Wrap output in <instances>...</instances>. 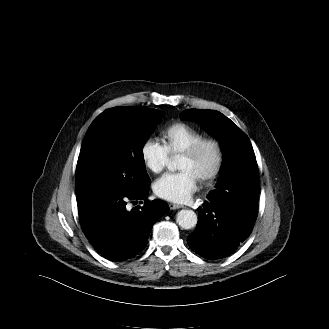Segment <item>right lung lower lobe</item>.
I'll return each instance as SVG.
<instances>
[{"instance_id": "1", "label": "right lung lower lobe", "mask_w": 329, "mask_h": 329, "mask_svg": "<svg viewBox=\"0 0 329 329\" xmlns=\"http://www.w3.org/2000/svg\"><path fill=\"white\" fill-rule=\"evenodd\" d=\"M148 192L149 185L136 193L97 186L77 195L82 230L105 258L123 261L141 252L154 223L168 213L166 202L145 200ZM138 199L144 205L128 211L127 202Z\"/></svg>"}]
</instances>
